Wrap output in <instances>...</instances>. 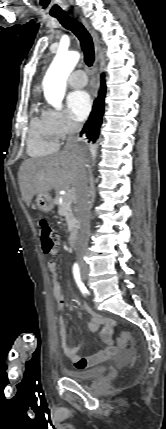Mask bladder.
Here are the masks:
<instances>
[{"mask_svg": "<svg viewBox=\"0 0 166 429\" xmlns=\"http://www.w3.org/2000/svg\"><path fill=\"white\" fill-rule=\"evenodd\" d=\"M107 369V366H98L86 371L71 370L67 372V375L78 382H86L103 377Z\"/></svg>", "mask_w": 166, "mask_h": 429, "instance_id": "31cf9c89", "label": "bladder"}]
</instances>
